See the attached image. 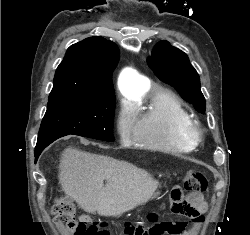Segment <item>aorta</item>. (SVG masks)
Here are the masks:
<instances>
[{"instance_id":"obj_1","label":"aorta","mask_w":250,"mask_h":235,"mask_svg":"<svg viewBox=\"0 0 250 235\" xmlns=\"http://www.w3.org/2000/svg\"><path fill=\"white\" fill-rule=\"evenodd\" d=\"M134 75V73H132ZM135 76V75H134ZM136 83L128 84L122 88L123 94L131 99H137L143 95V93L147 90V85L144 83V80L140 77H137ZM138 82V83H137ZM140 82V83H139ZM142 83V85H141Z\"/></svg>"}]
</instances>
